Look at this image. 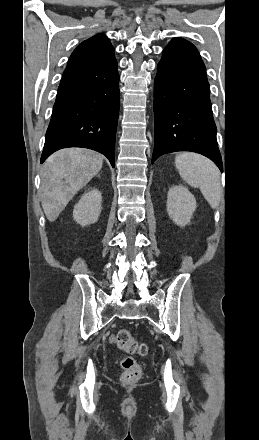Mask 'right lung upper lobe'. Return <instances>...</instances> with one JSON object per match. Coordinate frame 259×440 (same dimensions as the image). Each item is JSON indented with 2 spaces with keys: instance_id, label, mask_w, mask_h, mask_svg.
Wrapping results in <instances>:
<instances>
[{
  "instance_id": "1",
  "label": "right lung upper lobe",
  "mask_w": 259,
  "mask_h": 440,
  "mask_svg": "<svg viewBox=\"0 0 259 440\" xmlns=\"http://www.w3.org/2000/svg\"><path fill=\"white\" fill-rule=\"evenodd\" d=\"M112 56L114 48L109 39L97 34L77 46L68 60L67 68L94 65Z\"/></svg>"
}]
</instances>
